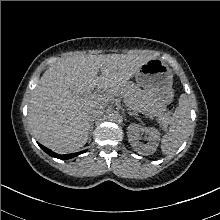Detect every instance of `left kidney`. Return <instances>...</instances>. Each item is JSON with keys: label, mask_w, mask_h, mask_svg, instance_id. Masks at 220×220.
I'll return each mask as SVG.
<instances>
[{"label": "left kidney", "mask_w": 220, "mask_h": 220, "mask_svg": "<svg viewBox=\"0 0 220 220\" xmlns=\"http://www.w3.org/2000/svg\"><path fill=\"white\" fill-rule=\"evenodd\" d=\"M127 130L129 142L137 153L149 155L156 151L160 133L155 128H146L138 124H131ZM141 133H146L148 135L147 144H143L139 141L141 139Z\"/></svg>", "instance_id": "obj_1"}]
</instances>
